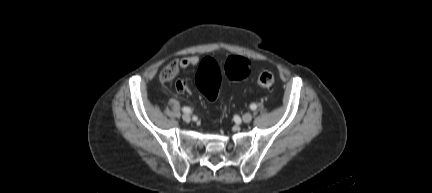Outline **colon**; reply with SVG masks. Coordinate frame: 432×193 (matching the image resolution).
Instances as JSON below:
<instances>
[{"label":"colon","instance_id":"colon-1","mask_svg":"<svg viewBox=\"0 0 432 193\" xmlns=\"http://www.w3.org/2000/svg\"><path fill=\"white\" fill-rule=\"evenodd\" d=\"M177 63H169L161 72L160 77L163 81L172 80L177 73ZM251 62L243 57L230 56L221 66L211 58L204 59L196 75V85L198 89L210 101H214L218 94V89L222 74L231 80L246 78L251 72ZM257 83L264 88H271L275 83V76L270 71H263L259 74Z\"/></svg>","mask_w":432,"mask_h":193}]
</instances>
